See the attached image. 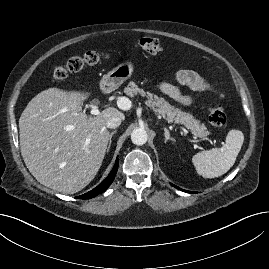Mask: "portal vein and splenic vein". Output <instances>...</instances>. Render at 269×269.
Returning <instances> with one entry per match:
<instances>
[{
	"mask_svg": "<svg viewBox=\"0 0 269 269\" xmlns=\"http://www.w3.org/2000/svg\"><path fill=\"white\" fill-rule=\"evenodd\" d=\"M121 104V102L119 101V105ZM129 107H121V109H128ZM90 113L92 115H98L100 114V110L97 107H93L90 111Z\"/></svg>",
	"mask_w": 269,
	"mask_h": 269,
	"instance_id": "1",
	"label": "portal vein and splenic vein"
}]
</instances>
